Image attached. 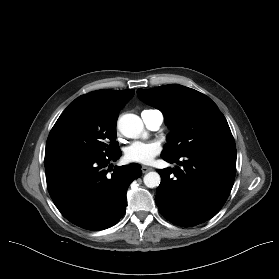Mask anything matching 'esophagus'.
Returning <instances> with one entry per match:
<instances>
[{
  "label": "esophagus",
  "mask_w": 279,
  "mask_h": 279,
  "mask_svg": "<svg viewBox=\"0 0 279 279\" xmlns=\"http://www.w3.org/2000/svg\"><path fill=\"white\" fill-rule=\"evenodd\" d=\"M141 170L143 173H147L153 169H152V167L142 166Z\"/></svg>",
  "instance_id": "obj_1"
}]
</instances>
